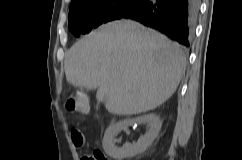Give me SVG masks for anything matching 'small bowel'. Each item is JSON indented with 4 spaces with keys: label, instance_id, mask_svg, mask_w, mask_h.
<instances>
[{
    "label": "small bowel",
    "instance_id": "c3829d8e",
    "mask_svg": "<svg viewBox=\"0 0 242 160\" xmlns=\"http://www.w3.org/2000/svg\"><path fill=\"white\" fill-rule=\"evenodd\" d=\"M86 158H87V155L83 156L81 160H86Z\"/></svg>",
    "mask_w": 242,
    "mask_h": 160
}]
</instances>
